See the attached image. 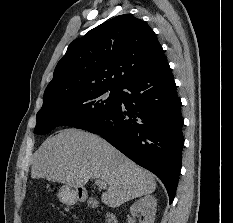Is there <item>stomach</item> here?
Returning <instances> with one entry per match:
<instances>
[{
  "mask_svg": "<svg viewBox=\"0 0 233 223\" xmlns=\"http://www.w3.org/2000/svg\"><path fill=\"white\" fill-rule=\"evenodd\" d=\"M78 191H82V195H79ZM86 195L83 187H71V185H62L57 193L59 201L65 205H74L79 201V197H86Z\"/></svg>",
  "mask_w": 233,
  "mask_h": 223,
  "instance_id": "obj_1",
  "label": "stomach"
}]
</instances>
